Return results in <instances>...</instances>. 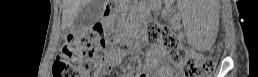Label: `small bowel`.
I'll use <instances>...</instances> for the list:
<instances>
[{"mask_svg":"<svg viewBox=\"0 0 258 77\" xmlns=\"http://www.w3.org/2000/svg\"><path fill=\"white\" fill-rule=\"evenodd\" d=\"M157 55L152 53L150 55L149 65L146 68V72H150L153 69H158L159 65L156 62ZM121 61V54L118 52H113L101 59L99 71L96 76H104L109 73L114 67L118 66Z\"/></svg>","mask_w":258,"mask_h":77,"instance_id":"c3829d8e","label":"small bowel"}]
</instances>
